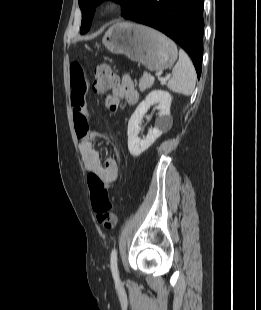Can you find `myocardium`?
Listing matches in <instances>:
<instances>
[{
	"label": "myocardium",
	"instance_id": "myocardium-1",
	"mask_svg": "<svg viewBox=\"0 0 261 310\" xmlns=\"http://www.w3.org/2000/svg\"><path fill=\"white\" fill-rule=\"evenodd\" d=\"M122 6L121 0H104L101 9L105 14H113L117 12Z\"/></svg>",
	"mask_w": 261,
	"mask_h": 310
}]
</instances>
